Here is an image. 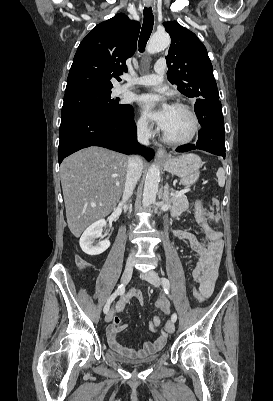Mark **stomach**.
I'll list each match as a JSON object with an SVG mask.
<instances>
[{
	"mask_svg": "<svg viewBox=\"0 0 273 401\" xmlns=\"http://www.w3.org/2000/svg\"><path fill=\"white\" fill-rule=\"evenodd\" d=\"M168 158H159L165 170L180 176L181 184L191 186L195 184L199 178V168L202 166V160L198 154L188 152V154H181V156H172L167 154Z\"/></svg>",
	"mask_w": 273,
	"mask_h": 401,
	"instance_id": "stomach-1",
	"label": "stomach"
}]
</instances>
